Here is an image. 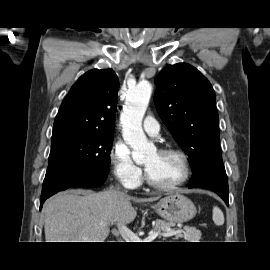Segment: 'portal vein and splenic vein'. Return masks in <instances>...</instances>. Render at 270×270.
<instances>
[{
  "label": "portal vein and splenic vein",
  "mask_w": 270,
  "mask_h": 270,
  "mask_svg": "<svg viewBox=\"0 0 270 270\" xmlns=\"http://www.w3.org/2000/svg\"><path fill=\"white\" fill-rule=\"evenodd\" d=\"M118 226V230L119 233L121 234V236L123 237V239L126 242H152L154 239H156V237L160 234L164 237H171L173 235H176L178 233L183 232V229H178V230H171L168 231L167 233H158V232H154L151 233L147 238H145L144 240H141L137 234H135L134 232H132L127 226L125 225H117Z\"/></svg>",
  "instance_id": "1"
}]
</instances>
